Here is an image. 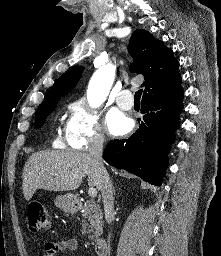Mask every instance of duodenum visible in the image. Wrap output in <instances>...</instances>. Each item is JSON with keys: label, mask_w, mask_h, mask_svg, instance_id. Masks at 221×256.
Masks as SVG:
<instances>
[{"label": "duodenum", "mask_w": 221, "mask_h": 256, "mask_svg": "<svg viewBox=\"0 0 221 256\" xmlns=\"http://www.w3.org/2000/svg\"><path fill=\"white\" fill-rule=\"evenodd\" d=\"M72 207L75 211H78L82 207V203L79 201H73ZM94 249L97 256H107L108 253V246L106 239L104 237H98L94 243Z\"/></svg>", "instance_id": "1"}]
</instances>
